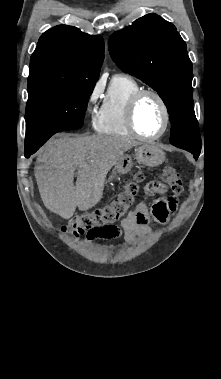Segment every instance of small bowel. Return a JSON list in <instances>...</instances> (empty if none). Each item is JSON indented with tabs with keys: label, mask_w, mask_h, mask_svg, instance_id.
<instances>
[{
	"label": "small bowel",
	"mask_w": 221,
	"mask_h": 379,
	"mask_svg": "<svg viewBox=\"0 0 221 379\" xmlns=\"http://www.w3.org/2000/svg\"><path fill=\"white\" fill-rule=\"evenodd\" d=\"M156 193H163V188L151 183L146 187V196ZM180 190H165V197L155 198L151 210H149L145 200H142L134 211L130 212L121 221V227H114L111 231L101 235H88V240L113 239L123 236L125 241L132 244L137 237H144L151 232L149 225L150 215L159 223H165L176 209V198L180 197Z\"/></svg>",
	"instance_id": "obj_1"
}]
</instances>
